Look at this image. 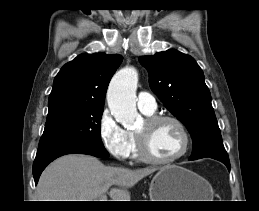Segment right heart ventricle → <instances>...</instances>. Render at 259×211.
<instances>
[{
  "mask_svg": "<svg viewBox=\"0 0 259 211\" xmlns=\"http://www.w3.org/2000/svg\"><path fill=\"white\" fill-rule=\"evenodd\" d=\"M144 114L149 115V116L151 115V114H147V113H144ZM129 136H130V140H131L130 153L132 154L133 158L139 159L135 135L133 133L129 132Z\"/></svg>",
  "mask_w": 259,
  "mask_h": 211,
  "instance_id": "e07e8e85",
  "label": "right heart ventricle"
}]
</instances>
